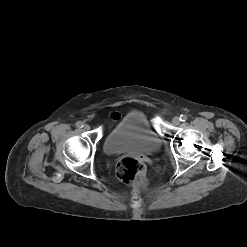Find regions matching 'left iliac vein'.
<instances>
[{
    "label": "left iliac vein",
    "mask_w": 247,
    "mask_h": 247,
    "mask_svg": "<svg viewBox=\"0 0 247 247\" xmlns=\"http://www.w3.org/2000/svg\"><path fill=\"white\" fill-rule=\"evenodd\" d=\"M172 123H173L174 125H179V124H180V119H179V117H174V118L172 119Z\"/></svg>",
    "instance_id": "1"
}]
</instances>
